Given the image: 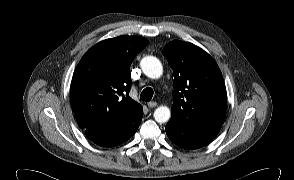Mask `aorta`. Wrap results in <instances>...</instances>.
I'll use <instances>...</instances> for the list:
<instances>
[{
  "instance_id": "1",
  "label": "aorta",
  "mask_w": 294,
  "mask_h": 180,
  "mask_svg": "<svg viewBox=\"0 0 294 180\" xmlns=\"http://www.w3.org/2000/svg\"><path fill=\"white\" fill-rule=\"evenodd\" d=\"M141 69L143 73L152 79H158L163 73L161 62L154 56H146L141 60ZM171 117V111L167 106H159L154 111L155 120L162 124L168 122Z\"/></svg>"
}]
</instances>
